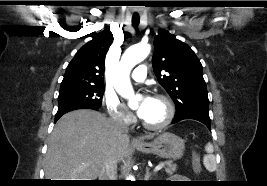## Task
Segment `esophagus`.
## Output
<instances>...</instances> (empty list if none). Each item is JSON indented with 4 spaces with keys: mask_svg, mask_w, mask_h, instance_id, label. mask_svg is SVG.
Wrapping results in <instances>:
<instances>
[{
    "mask_svg": "<svg viewBox=\"0 0 267 186\" xmlns=\"http://www.w3.org/2000/svg\"><path fill=\"white\" fill-rule=\"evenodd\" d=\"M133 143L139 144V143H140V140H138V139H134V140H133Z\"/></svg>",
    "mask_w": 267,
    "mask_h": 186,
    "instance_id": "obj_1",
    "label": "esophagus"
}]
</instances>
